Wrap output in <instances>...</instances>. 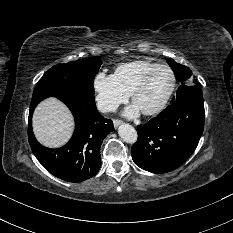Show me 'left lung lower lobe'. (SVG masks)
<instances>
[{"label":"left lung lower lobe","instance_id":"left-lung-lower-lobe-1","mask_svg":"<svg viewBox=\"0 0 233 233\" xmlns=\"http://www.w3.org/2000/svg\"><path fill=\"white\" fill-rule=\"evenodd\" d=\"M204 115L203 96L198 87L176 99L157 117L138 126V140L131 148L135 164L159 174L181 166L198 145Z\"/></svg>","mask_w":233,"mask_h":233}]
</instances>
